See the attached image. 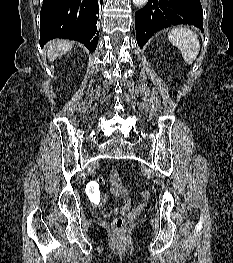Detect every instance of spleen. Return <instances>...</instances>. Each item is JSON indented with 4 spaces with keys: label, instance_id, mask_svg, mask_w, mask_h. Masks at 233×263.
Wrapping results in <instances>:
<instances>
[{
    "label": "spleen",
    "instance_id": "1",
    "mask_svg": "<svg viewBox=\"0 0 233 263\" xmlns=\"http://www.w3.org/2000/svg\"><path fill=\"white\" fill-rule=\"evenodd\" d=\"M169 41L176 46L188 65H191L200 50L198 36L188 28L179 27L168 34Z\"/></svg>",
    "mask_w": 233,
    "mask_h": 263
}]
</instances>
